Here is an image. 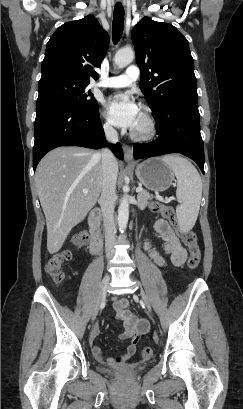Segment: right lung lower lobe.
<instances>
[{
  "instance_id": "1",
  "label": "right lung lower lobe",
  "mask_w": 243,
  "mask_h": 409,
  "mask_svg": "<svg viewBox=\"0 0 243 409\" xmlns=\"http://www.w3.org/2000/svg\"><path fill=\"white\" fill-rule=\"evenodd\" d=\"M99 109L80 110L51 105L36 110L33 169L50 150L59 146H81L98 149L106 146ZM117 158L123 159L121 145H110Z\"/></svg>"
}]
</instances>
